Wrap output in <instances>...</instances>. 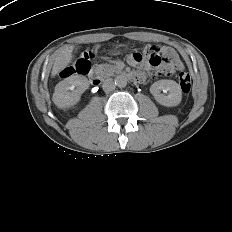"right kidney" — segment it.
Masks as SVG:
<instances>
[{"mask_svg": "<svg viewBox=\"0 0 232 232\" xmlns=\"http://www.w3.org/2000/svg\"><path fill=\"white\" fill-rule=\"evenodd\" d=\"M88 85L86 77L70 76L56 85L53 102L58 108H70L80 101L81 94L88 88Z\"/></svg>", "mask_w": 232, "mask_h": 232, "instance_id": "ca27d5eb", "label": "right kidney"}]
</instances>
